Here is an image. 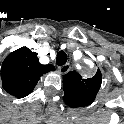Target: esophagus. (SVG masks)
<instances>
[{
	"mask_svg": "<svg viewBox=\"0 0 124 124\" xmlns=\"http://www.w3.org/2000/svg\"><path fill=\"white\" fill-rule=\"evenodd\" d=\"M70 71V65L69 64H65L59 67V72L64 75L66 73H68Z\"/></svg>",
	"mask_w": 124,
	"mask_h": 124,
	"instance_id": "obj_1",
	"label": "esophagus"
}]
</instances>
